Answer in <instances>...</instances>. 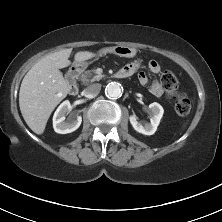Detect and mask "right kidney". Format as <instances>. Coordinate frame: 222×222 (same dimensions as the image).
Here are the masks:
<instances>
[{
	"label": "right kidney",
	"instance_id": "1",
	"mask_svg": "<svg viewBox=\"0 0 222 222\" xmlns=\"http://www.w3.org/2000/svg\"><path fill=\"white\" fill-rule=\"evenodd\" d=\"M71 109V104L68 100L60 104L53 116V128L56 133L67 134L79 128L82 122V117L77 116L76 119L65 121V115Z\"/></svg>",
	"mask_w": 222,
	"mask_h": 222
}]
</instances>
